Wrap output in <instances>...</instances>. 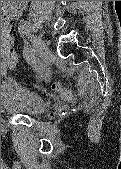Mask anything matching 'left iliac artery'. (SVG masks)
<instances>
[{
  "instance_id": "1",
  "label": "left iliac artery",
  "mask_w": 121,
  "mask_h": 169,
  "mask_svg": "<svg viewBox=\"0 0 121 169\" xmlns=\"http://www.w3.org/2000/svg\"><path fill=\"white\" fill-rule=\"evenodd\" d=\"M32 30L31 24L26 22L22 25L21 30H19V35H27L30 34ZM35 49H32V46H24L23 54H25V58L27 64H31V68H35L36 72L44 71V63L35 53Z\"/></svg>"
}]
</instances>
